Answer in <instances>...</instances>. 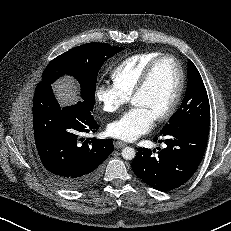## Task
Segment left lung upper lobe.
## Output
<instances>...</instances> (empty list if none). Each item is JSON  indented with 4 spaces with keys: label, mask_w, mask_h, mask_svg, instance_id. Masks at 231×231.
I'll list each match as a JSON object with an SVG mask.
<instances>
[{
    "label": "left lung upper lobe",
    "mask_w": 231,
    "mask_h": 231,
    "mask_svg": "<svg viewBox=\"0 0 231 231\" xmlns=\"http://www.w3.org/2000/svg\"><path fill=\"white\" fill-rule=\"evenodd\" d=\"M195 126L209 128L210 106L207 91L195 65L188 61V84L184 100L178 111L160 132L179 127Z\"/></svg>",
    "instance_id": "obj_1"
}]
</instances>
